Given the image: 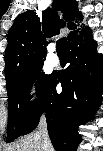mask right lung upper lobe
I'll list each match as a JSON object with an SVG mask.
<instances>
[{
	"label": "right lung upper lobe",
	"instance_id": "1",
	"mask_svg": "<svg viewBox=\"0 0 103 151\" xmlns=\"http://www.w3.org/2000/svg\"><path fill=\"white\" fill-rule=\"evenodd\" d=\"M62 13L61 18L58 12ZM78 11L75 0H54L52 8L42 13L28 10L18 15L8 32V45L5 51V78L8 88L23 72L34 65L43 63L46 56V39L60 33L65 26L71 30L68 44L74 41L87 26L80 25L83 16Z\"/></svg>",
	"mask_w": 103,
	"mask_h": 151
}]
</instances>
